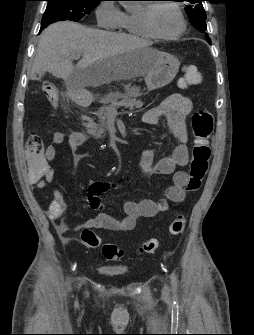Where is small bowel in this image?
Returning a JSON list of instances; mask_svg holds the SVG:
<instances>
[{"label":"small bowel","mask_w":254,"mask_h":335,"mask_svg":"<svg viewBox=\"0 0 254 335\" xmlns=\"http://www.w3.org/2000/svg\"><path fill=\"white\" fill-rule=\"evenodd\" d=\"M192 111V103L188 97L175 93L169 95L158 105L148 110L143 116V122L148 125H157L163 118L167 122L169 133L178 141V145L167 156L155 162V150L144 149L141 152L139 167L144 175L160 174L172 175V184L164 192L159 200L142 199L140 201L128 200L123 204L124 215L115 218L105 212H99L96 216L89 218L75 229L84 228L105 229L110 231H132L141 217L151 218L168 210L169 202L181 203L186 198V183L188 176L183 171L176 170L188 163L189 153L187 148L188 132L186 120ZM66 139L62 131H55L52 136V144L45 150L44 162L49 165L57 156L58 145ZM84 133L75 131L68 135V146L72 155L77 156L79 147L86 141ZM32 185H40V178H28ZM114 188L113 184L107 182H94L90 185L88 203L94 209H102L101 194ZM49 218L54 221L55 228L63 243L68 244L70 239L67 233L70 228L66 224L67 201L65 195L55 190L53 200L50 203Z\"/></svg>","instance_id":"1"}]
</instances>
